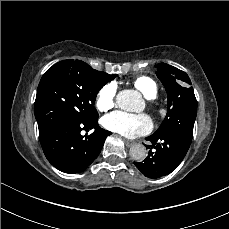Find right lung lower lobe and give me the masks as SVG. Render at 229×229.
I'll return each mask as SVG.
<instances>
[{"label":"right lung lower lobe","mask_w":229,"mask_h":229,"mask_svg":"<svg viewBox=\"0 0 229 229\" xmlns=\"http://www.w3.org/2000/svg\"><path fill=\"white\" fill-rule=\"evenodd\" d=\"M93 133L85 136L82 130ZM110 131L95 122L64 120L39 138L48 161L58 170L74 174L84 171L99 155Z\"/></svg>","instance_id":"1"}]
</instances>
